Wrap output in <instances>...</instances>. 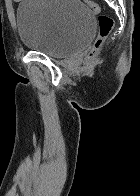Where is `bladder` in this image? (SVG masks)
Returning a JSON list of instances; mask_svg holds the SVG:
<instances>
[{"instance_id":"bladder-1","label":"bladder","mask_w":140,"mask_h":196,"mask_svg":"<svg viewBox=\"0 0 140 196\" xmlns=\"http://www.w3.org/2000/svg\"><path fill=\"white\" fill-rule=\"evenodd\" d=\"M16 24L26 48L54 58L82 51L96 32L95 13L80 0H22Z\"/></svg>"}]
</instances>
